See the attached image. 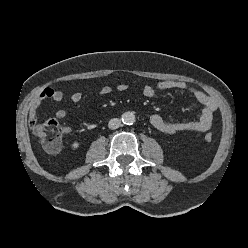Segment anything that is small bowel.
Segmentation results:
<instances>
[{"mask_svg":"<svg viewBox=\"0 0 248 248\" xmlns=\"http://www.w3.org/2000/svg\"><path fill=\"white\" fill-rule=\"evenodd\" d=\"M127 85L120 84L117 87L118 91H125L127 89ZM163 90H175L179 92H186L191 94L201 105L202 111L199 118L190 121H171L162 115L153 113L148 114V118L150 123L156 128L158 131L166 133V134H177L181 132H205L210 129L213 116L217 109V104L215 100L209 96L204 91L189 86L187 83L182 81H172V80H163L156 83H151L145 85L143 88V95L147 98L154 97L159 91ZM112 92V88L110 86L101 87L98 95L100 97H105L110 95ZM83 94L79 91L74 92L70 95H66L64 92L52 88L44 89L32 102L29 110V125L32 129L37 125V111L44 100H53L54 102H70V103H78L82 100ZM67 115L65 109H58L55 113V116L58 119H63ZM65 132H69L70 129L68 127L64 128Z\"/></svg>","mask_w":248,"mask_h":248,"instance_id":"obj_1","label":"small bowel"}]
</instances>
